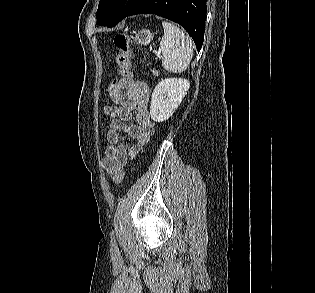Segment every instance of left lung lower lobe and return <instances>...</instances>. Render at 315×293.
Masks as SVG:
<instances>
[{
  "label": "left lung lower lobe",
  "mask_w": 315,
  "mask_h": 293,
  "mask_svg": "<svg viewBox=\"0 0 315 293\" xmlns=\"http://www.w3.org/2000/svg\"><path fill=\"white\" fill-rule=\"evenodd\" d=\"M156 14L180 24L200 51L204 39L206 0H141L127 15Z\"/></svg>",
  "instance_id": "1"
}]
</instances>
